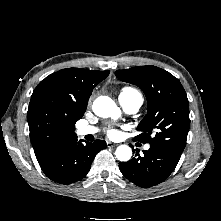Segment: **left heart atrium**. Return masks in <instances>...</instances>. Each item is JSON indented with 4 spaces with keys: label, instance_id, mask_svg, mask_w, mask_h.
<instances>
[{
    "label": "left heart atrium",
    "instance_id": "39dd6f15",
    "mask_svg": "<svg viewBox=\"0 0 221 221\" xmlns=\"http://www.w3.org/2000/svg\"><path fill=\"white\" fill-rule=\"evenodd\" d=\"M119 135V132L115 129H110L108 130V136L111 137V138H116L118 137Z\"/></svg>",
    "mask_w": 221,
    "mask_h": 221
}]
</instances>
